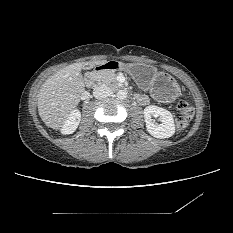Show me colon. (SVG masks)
<instances>
[{"instance_id": "colon-1", "label": "colon", "mask_w": 233, "mask_h": 233, "mask_svg": "<svg viewBox=\"0 0 233 233\" xmlns=\"http://www.w3.org/2000/svg\"><path fill=\"white\" fill-rule=\"evenodd\" d=\"M177 108L179 116L176 119V129L178 132H182L187 128L194 115V107L187 101H180Z\"/></svg>"}]
</instances>
